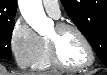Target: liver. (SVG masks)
Segmentation results:
<instances>
[{
    "label": "liver",
    "mask_w": 107,
    "mask_h": 75,
    "mask_svg": "<svg viewBox=\"0 0 107 75\" xmlns=\"http://www.w3.org/2000/svg\"><path fill=\"white\" fill-rule=\"evenodd\" d=\"M0 75H8V74H7V71L5 69L1 68ZM13 75H43V74H33V73L20 72V73H16V74H13Z\"/></svg>",
    "instance_id": "liver-1"
}]
</instances>
